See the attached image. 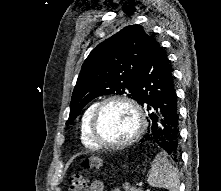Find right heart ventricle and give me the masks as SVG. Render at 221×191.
<instances>
[{
	"mask_svg": "<svg viewBox=\"0 0 221 191\" xmlns=\"http://www.w3.org/2000/svg\"><path fill=\"white\" fill-rule=\"evenodd\" d=\"M97 106V103H92L87 107V109L84 111L81 121H80V139L82 144L90 149H96L99 148L100 146L96 144L90 134V122H91V117L94 112L95 107Z\"/></svg>",
	"mask_w": 221,
	"mask_h": 191,
	"instance_id": "1",
	"label": "right heart ventricle"
}]
</instances>
